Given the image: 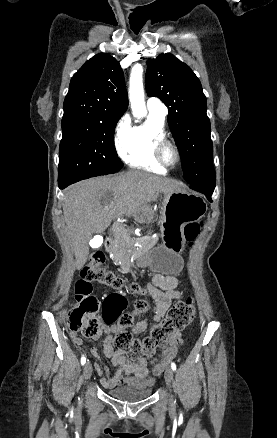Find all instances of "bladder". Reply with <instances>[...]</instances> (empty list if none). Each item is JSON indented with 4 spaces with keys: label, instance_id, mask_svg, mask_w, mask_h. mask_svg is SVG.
<instances>
[{
    "label": "bladder",
    "instance_id": "bladder-1",
    "mask_svg": "<svg viewBox=\"0 0 277 438\" xmlns=\"http://www.w3.org/2000/svg\"><path fill=\"white\" fill-rule=\"evenodd\" d=\"M152 393L149 388L115 387L108 390V394L115 401L133 403L143 401Z\"/></svg>",
    "mask_w": 277,
    "mask_h": 438
}]
</instances>
